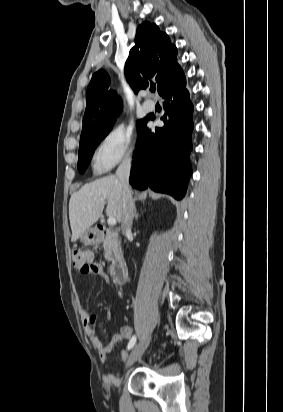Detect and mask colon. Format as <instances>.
I'll use <instances>...</instances> for the list:
<instances>
[{
  "instance_id": "1",
  "label": "colon",
  "mask_w": 283,
  "mask_h": 412,
  "mask_svg": "<svg viewBox=\"0 0 283 412\" xmlns=\"http://www.w3.org/2000/svg\"><path fill=\"white\" fill-rule=\"evenodd\" d=\"M70 257L74 268L81 274H96L100 269L99 264L92 260L90 254L86 251L73 249Z\"/></svg>"
}]
</instances>
